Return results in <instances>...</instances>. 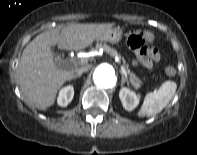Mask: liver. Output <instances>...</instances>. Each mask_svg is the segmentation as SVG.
<instances>
[{
  "instance_id": "1",
  "label": "liver",
  "mask_w": 197,
  "mask_h": 155,
  "mask_svg": "<svg viewBox=\"0 0 197 155\" xmlns=\"http://www.w3.org/2000/svg\"><path fill=\"white\" fill-rule=\"evenodd\" d=\"M113 26L106 24H69L63 29L53 28L39 34L23 50L18 66L21 93L33 104L47 108L54 104L57 91L75 70L58 67L50 47L64 50H81L97 40Z\"/></svg>"
}]
</instances>
